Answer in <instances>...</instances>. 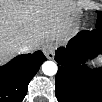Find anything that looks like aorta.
<instances>
[{
  "instance_id": "762f6f07",
  "label": "aorta",
  "mask_w": 102,
  "mask_h": 102,
  "mask_svg": "<svg viewBox=\"0 0 102 102\" xmlns=\"http://www.w3.org/2000/svg\"><path fill=\"white\" fill-rule=\"evenodd\" d=\"M57 65L53 61H46L42 64V71L47 76H53L57 73Z\"/></svg>"
}]
</instances>
